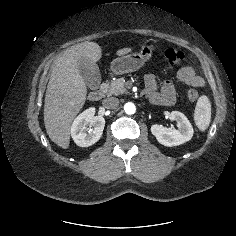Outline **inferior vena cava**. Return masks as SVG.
I'll list each match as a JSON object with an SVG mask.
<instances>
[{"label":"inferior vena cava","mask_w":236,"mask_h":236,"mask_svg":"<svg viewBox=\"0 0 236 236\" xmlns=\"http://www.w3.org/2000/svg\"><path fill=\"white\" fill-rule=\"evenodd\" d=\"M102 104L106 109H116L119 106V99L116 97H109L104 99Z\"/></svg>","instance_id":"inferior-vena-cava-1"}]
</instances>
